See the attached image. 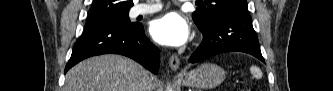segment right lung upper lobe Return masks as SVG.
Segmentation results:
<instances>
[{"mask_svg": "<svg viewBox=\"0 0 333 91\" xmlns=\"http://www.w3.org/2000/svg\"><path fill=\"white\" fill-rule=\"evenodd\" d=\"M132 6V0H94L89 20L120 14Z\"/></svg>", "mask_w": 333, "mask_h": 91, "instance_id": "obj_1", "label": "right lung upper lobe"}]
</instances>
